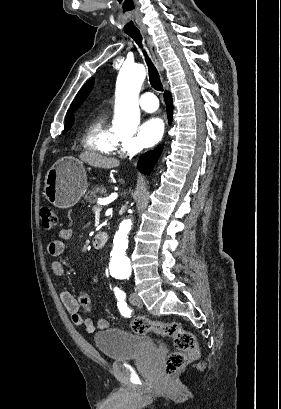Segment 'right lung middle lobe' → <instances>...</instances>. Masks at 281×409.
Here are the masks:
<instances>
[{"mask_svg":"<svg viewBox=\"0 0 281 409\" xmlns=\"http://www.w3.org/2000/svg\"><path fill=\"white\" fill-rule=\"evenodd\" d=\"M71 126L72 125H65V129H64L63 133H66L71 128Z\"/></svg>","mask_w":281,"mask_h":409,"instance_id":"right-lung-middle-lobe-1","label":"right lung middle lobe"}]
</instances>
